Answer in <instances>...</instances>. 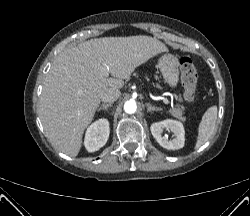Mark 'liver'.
I'll return each mask as SVG.
<instances>
[{
  "label": "liver",
  "mask_w": 250,
  "mask_h": 216,
  "mask_svg": "<svg viewBox=\"0 0 250 216\" xmlns=\"http://www.w3.org/2000/svg\"><path fill=\"white\" fill-rule=\"evenodd\" d=\"M167 47L156 38L138 35L91 39L62 51L48 72L39 116L50 142L75 157L93 120L101 95L123 87L136 67ZM113 78L105 76L106 68Z\"/></svg>",
  "instance_id": "liver-1"
}]
</instances>
